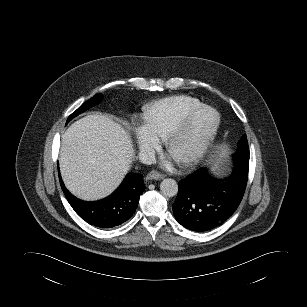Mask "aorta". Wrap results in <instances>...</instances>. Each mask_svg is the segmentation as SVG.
Segmentation results:
<instances>
[{
  "mask_svg": "<svg viewBox=\"0 0 307 307\" xmlns=\"http://www.w3.org/2000/svg\"><path fill=\"white\" fill-rule=\"evenodd\" d=\"M160 190L163 195L173 197L178 193V184L174 179L166 178L161 182Z\"/></svg>",
  "mask_w": 307,
  "mask_h": 307,
  "instance_id": "762f6f07",
  "label": "aorta"
}]
</instances>
